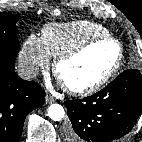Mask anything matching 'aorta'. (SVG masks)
<instances>
[{
    "mask_svg": "<svg viewBox=\"0 0 142 142\" xmlns=\"http://www.w3.org/2000/svg\"><path fill=\"white\" fill-rule=\"evenodd\" d=\"M65 111L60 104H52L48 108V116L54 121H61L64 118Z\"/></svg>",
    "mask_w": 142,
    "mask_h": 142,
    "instance_id": "762f6f07",
    "label": "aorta"
}]
</instances>
